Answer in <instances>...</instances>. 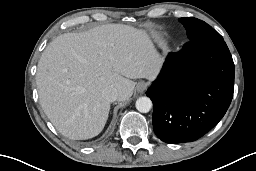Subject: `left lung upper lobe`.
<instances>
[{
  "label": "left lung upper lobe",
  "mask_w": 256,
  "mask_h": 171,
  "mask_svg": "<svg viewBox=\"0 0 256 171\" xmlns=\"http://www.w3.org/2000/svg\"><path fill=\"white\" fill-rule=\"evenodd\" d=\"M179 21L185 26L190 41L197 39H223L215 29L202 20L180 18Z\"/></svg>",
  "instance_id": "5c2ea615"
}]
</instances>
